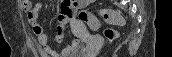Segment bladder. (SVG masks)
<instances>
[{
    "label": "bladder",
    "mask_w": 172,
    "mask_h": 57,
    "mask_svg": "<svg viewBox=\"0 0 172 57\" xmlns=\"http://www.w3.org/2000/svg\"><path fill=\"white\" fill-rule=\"evenodd\" d=\"M68 57H88L87 52H83L81 54H72L69 55Z\"/></svg>",
    "instance_id": "obj_1"
}]
</instances>
